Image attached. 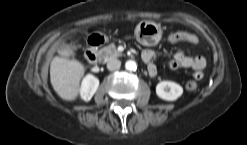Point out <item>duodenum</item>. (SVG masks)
<instances>
[{
  "label": "duodenum",
  "mask_w": 247,
  "mask_h": 145,
  "mask_svg": "<svg viewBox=\"0 0 247 145\" xmlns=\"http://www.w3.org/2000/svg\"><path fill=\"white\" fill-rule=\"evenodd\" d=\"M105 43V39L100 34H93L88 38V47L85 50V57L87 61L94 65L98 61V48ZM148 70L151 73L156 72V67L154 65H149Z\"/></svg>",
  "instance_id": "obj_1"
}]
</instances>
